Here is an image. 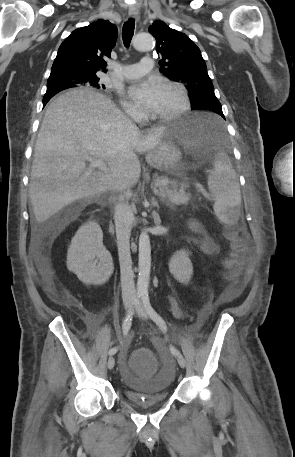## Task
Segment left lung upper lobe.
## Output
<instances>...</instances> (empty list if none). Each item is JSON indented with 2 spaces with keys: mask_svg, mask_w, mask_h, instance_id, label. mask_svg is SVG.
<instances>
[{
  "mask_svg": "<svg viewBox=\"0 0 295 457\" xmlns=\"http://www.w3.org/2000/svg\"><path fill=\"white\" fill-rule=\"evenodd\" d=\"M149 32L157 41L156 51L162 57L160 72L168 79L185 85L194 109L204 103L220 104L214 94L200 49L184 33L155 21Z\"/></svg>",
  "mask_w": 295,
  "mask_h": 457,
  "instance_id": "1",
  "label": "left lung upper lobe"
}]
</instances>
